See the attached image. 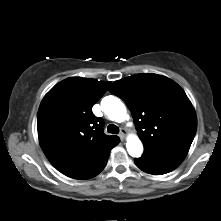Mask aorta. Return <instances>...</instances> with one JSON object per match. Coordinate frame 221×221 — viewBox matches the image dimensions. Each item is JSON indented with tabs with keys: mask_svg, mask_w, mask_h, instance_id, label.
I'll return each instance as SVG.
<instances>
[{
	"mask_svg": "<svg viewBox=\"0 0 221 221\" xmlns=\"http://www.w3.org/2000/svg\"><path fill=\"white\" fill-rule=\"evenodd\" d=\"M102 111L113 121L123 122L128 118L127 110L122 101L115 96H106L101 101ZM126 148L130 156L138 158L143 153V144L136 135L127 138Z\"/></svg>",
	"mask_w": 221,
	"mask_h": 221,
	"instance_id": "762f6f07",
	"label": "aorta"
}]
</instances>
